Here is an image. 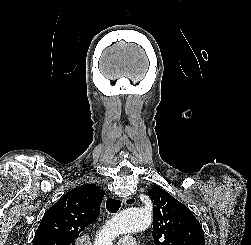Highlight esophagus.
Returning a JSON list of instances; mask_svg holds the SVG:
<instances>
[{
	"label": "esophagus",
	"instance_id": "34e87169",
	"mask_svg": "<svg viewBox=\"0 0 251 245\" xmlns=\"http://www.w3.org/2000/svg\"><path fill=\"white\" fill-rule=\"evenodd\" d=\"M135 197H133V196H129V197H127V198H125L124 199V204L126 205V206H130V205H133V204H135Z\"/></svg>",
	"mask_w": 251,
	"mask_h": 245
}]
</instances>
